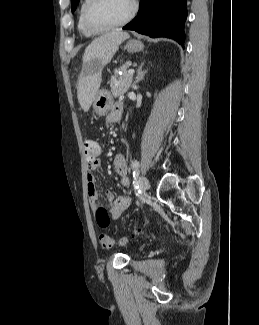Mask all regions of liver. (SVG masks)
I'll list each match as a JSON object with an SVG mask.
<instances>
[{"mask_svg":"<svg viewBox=\"0 0 259 325\" xmlns=\"http://www.w3.org/2000/svg\"><path fill=\"white\" fill-rule=\"evenodd\" d=\"M128 38L127 32L113 30L96 38L86 47L77 86L78 101L84 112L89 110L99 90L102 68L110 62L119 45ZM89 63H92L91 68L86 66Z\"/></svg>","mask_w":259,"mask_h":325,"instance_id":"liver-1","label":"liver"}]
</instances>
